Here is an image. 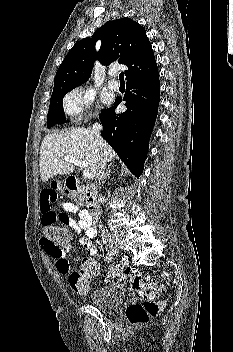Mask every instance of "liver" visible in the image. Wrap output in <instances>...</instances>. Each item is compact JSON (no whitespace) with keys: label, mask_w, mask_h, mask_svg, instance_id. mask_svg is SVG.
<instances>
[{"label":"liver","mask_w":233,"mask_h":352,"mask_svg":"<svg viewBox=\"0 0 233 352\" xmlns=\"http://www.w3.org/2000/svg\"><path fill=\"white\" fill-rule=\"evenodd\" d=\"M108 162L116 156L109 144L103 142ZM73 156L87 162V169L92 178H96L98 163L101 157V146L89 129L78 127L61 133L48 134L44 137L40 148V175L43 182L55 175L70 174L74 171L73 163L64 160Z\"/></svg>","instance_id":"1"}]
</instances>
